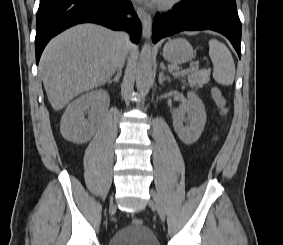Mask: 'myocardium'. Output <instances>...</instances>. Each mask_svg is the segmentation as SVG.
Wrapping results in <instances>:
<instances>
[{"mask_svg":"<svg viewBox=\"0 0 283 245\" xmlns=\"http://www.w3.org/2000/svg\"><path fill=\"white\" fill-rule=\"evenodd\" d=\"M181 3L182 0H157L156 5L161 10H172Z\"/></svg>","mask_w":283,"mask_h":245,"instance_id":"f54148a6","label":"myocardium"}]
</instances>
